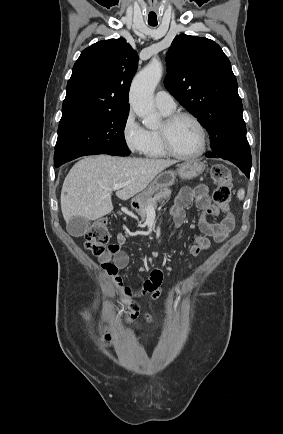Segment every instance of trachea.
Returning <instances> with one entry per match:
<instances>
[{
  "instance_id": "obj_1",
  "label": "trachea",
  "mask_w": 283,
  "mask_h": 434,
  "mask_svg": "<svg viewBox=\"0 0 283 434\" xmlns=\"http://www.w3.org/2000/svg\"><path fill=\"white\" fill-rule=\"evenodd\" d=\"M149 25L156 26L157 24L156 23H149Z\"/></svg>"
}]
</instances>
